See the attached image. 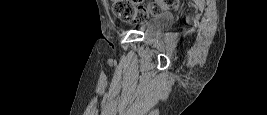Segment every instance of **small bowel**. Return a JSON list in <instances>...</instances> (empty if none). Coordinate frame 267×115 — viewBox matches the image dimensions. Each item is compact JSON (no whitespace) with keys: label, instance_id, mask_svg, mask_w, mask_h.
Returning <instances> with one entry per match:
<instances>
[{"label":"small bowel","instance_id":"obj_1","mask_svg":"<svg viewBox=\"0 0 267 115\" xmlns=\"http://www.w3.org/2000/svg\"><path fill=\"white\" fill-rule=\"evenodd\" d=\"M162 5L165 7H170V6L175 5V3L174 2H165V3H162Z\"/></svg>","mask_w":267,"mask_h":115}]
</instances>
